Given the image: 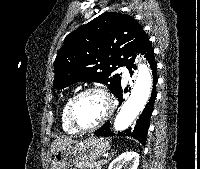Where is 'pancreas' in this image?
Masks as SVG:
<instances>
[{"label":"pancreas","instance_id":"cf45deb5","mask_svg":"<svg viewBox=\"0 0 200 169\" xmlns=\"http://www.w3.org/2000/svg\"><path fill=\"white\" fill-rule=\"evenodd\" d=\"M107 161L102 160L98 162H91V163H78L77 167L79 169H101L102 166L106 163Z\"/></svg>","mask_w":200,"mask_h":169}]
</instances>
